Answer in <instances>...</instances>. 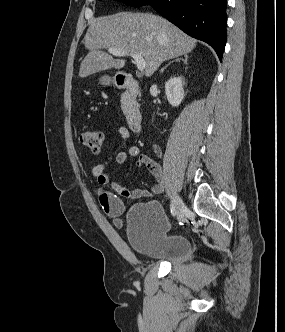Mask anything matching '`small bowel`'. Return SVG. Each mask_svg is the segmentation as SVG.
<instances>
[{
	"label": "small bowel",
	"mask_w": 285,
	"mask_h": 332,
	"mask_svg": "<svg viewBox=\"0 0 285 332\" xmlns=\"http://www.w3.org/2000/svg\"><path fill=\"white\" fill-rule=\"evenodd\" d=\"M118 134L122 141H127L130 137V131L125 126L118 127ZM137 157V167H146L150 174L155 178L156 183L150 189L130 188L111 179L107 171L108 161L97 163L92 168V176L96 180L99 188L97 196L105 213L113 219L117 228L123 226L121 215L125 206L123 198L136 200L149 198L153 195L160 194L164 188L163 174L160 164L146 154H140V149L136 145H131L126 151H119L115 156V162L119 165L124 164L128 157ZM110 185L112 191L104 187Z\"/></svg>",
	"instance_id": "obj_1"
}]
</instances>
